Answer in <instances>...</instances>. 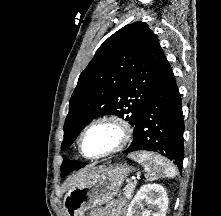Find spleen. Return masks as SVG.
I'll return each instance as SVG.
<instances>
[{
    "label": "spleen",
    "instance_id": "spleen-1",
    "mask_svg": "<svg viewBox=\"0 0 221 216\" xmlns=\"http://www.w3.org/2000/svg\"><path fill=\"white\" fill-rule=\"evenodd\" d=\"M141 164L146 170V179L155 181L161 177L174 178L177 174L175 167L165 158L146 151L138 152L130 156Z\"/></svg>",
    "mask_w": 221,
    "mask_h": 216
}]
</instances>
